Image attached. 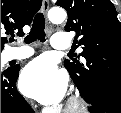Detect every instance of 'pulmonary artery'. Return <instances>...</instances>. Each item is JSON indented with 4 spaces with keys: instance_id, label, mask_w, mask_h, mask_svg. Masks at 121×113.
<instances>
[{
    "instance_id": "e3ab8cb5",
    "label": "pulmonary artery",
    "mask_w": 121,
    "mask_h": 113,
    "mask_svg": "<svg viewBox=\"0 0 121 113\" xmlns=\"http://www.w3.org/2000/svg\"><path fill=\"white\" fill-rule=\"evenodd\" d=\"M52 46L54 49L56 50H60V51H67L69 49V38L67 36V34H63V33H58L53 35L52 37ZM34 54L33 50L30 48H23L20 50H10L8 55H7V59L12 60V59H26L30 56H32Z\"/></svg>"
}]
</instances>
